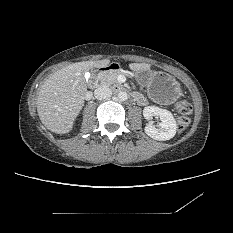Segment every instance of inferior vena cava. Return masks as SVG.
Masks as SVG:
<instances>
[{
	"label": "inferior vena cava",
	"mask_w": 233,
	"mask_h": 233,
	"mask_svg": "<svg viewBox=\"0 0 233 233\" xmlns=\"http://www.w3.org/2000/svg\"><path fill=\"white\" fill-rule=\"evenodd\" d=\"M95 98L98 100H105L111 97L112 91L107 86H101L94 91Z\"/></svg>",
	"instance_id": "inferior-vena-cava-1"
}]
</instances>
